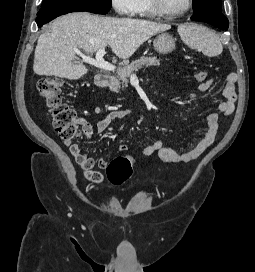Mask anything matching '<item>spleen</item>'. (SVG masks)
<instances>
[{
  "mask_svg": "<svg viewBox=\"0 0 255 272\" xmlns=\"http://www.w3.org/2000/svg\"><path fill=\"white\" fill-rule=\"evenodd\" d=\"M178 33L187 46L201 50L209 57L217 56L223 51L218 35L203 25L193 23L180 25Z\"/></svg>",
  "mask_w": 255,
  "mask_h": 272,
  "instance_id": "spleen-1",
  "label": "spleen"
}]
</instances>
